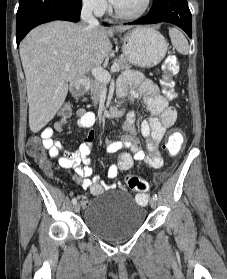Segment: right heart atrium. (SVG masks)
Here are the masks:
<instances>
[{
    "label": "right heart atrium",
    "mask_w": 227,
    "mask_h": 279,
    "mask_svg": "<svg viewBox=\"0 0 227 279\" xmlns=\"http://www.w3.org/2000/svg\"><path fill=\"white\" fill-rule=\"evenodd\" d=\"M84 7L97 15L103 14L107 8V0H81Z\"/></svg>",
    "instance_id": "d8ad5b80"
}]
</instances>
